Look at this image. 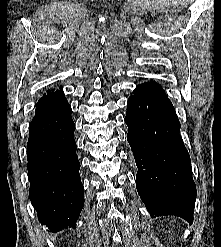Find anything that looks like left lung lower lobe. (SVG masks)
Returning <instances> with one entry per match:
<instances>
[{
    "instance_id": "0a47b994",
    "label": "left lung lower lobe",
    "mask_w": 221,
    "mask_h": 247,
    "mask_svg": "<svg viewBox=\"0 0 221 247\" xmlns=\"http://www.w3.org/2000/svg\"><path fill=\"white\" fill-rule=\"evenodd\" d=\"M133 94L128 98L125 123L138 167V194L152 218L175 215L191 224L196 186L175 109L170 101L141 90Z\"/></svg>"
}]
</instances>
